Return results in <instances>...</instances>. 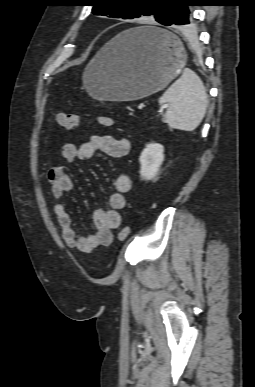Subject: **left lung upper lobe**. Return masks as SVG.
Instances as JSON below:
<instances>
[{
    "label": "left lung upper lobe",
    "mask_w": 255,
    "mask_h": 387,
    "mask_svg": "<svg viewBox=\"0 0 255 387\" xmlns=\"http://www.w3.org/2000/svg\"><path fill=\"white\" fill-rule=\"evenodd\" d=\"M186 0H89L95 15L134 19L153 15L165 24L175 12L176 5Z\"/></svg>",
    "instance_id": "left-lung-upper-lobe-1"
}]
</instances>
